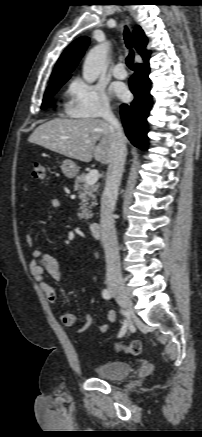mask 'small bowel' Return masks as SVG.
Masks as SVG:
<instances>
[{"instance_id":"obj_1","label":"small bowel","mask_w":202,"mask_h":437,"mask_svg":"<svg viewBox=\"0 0 202 437\" xmlns=\"http://www.w3.org/2000/svg\"><path fill=\"white\" fill-rule=\"evenodd\" d=\"M49 205L51 208H58L60 206V200L58 198H51L49 200ZM26 243L32 249L31 255L32 260L29 264V272L31 276L38 282L40 288L44 291L46 296L51 302H55L57 299L56 292L54 288L45 282V273H48L53 281L60 282L62 279L61 263L58 259L53 256L44 253L43 251L34 248V239L31 234L26 235ZM108 321L113 323L116 320V313L110 310L107 314ZM60 320L63 325L67 327H72L76 322V317L71 312H62L60 314ZM93 323V318L91 315L87 314L85 316V322L82 327L75 330L76 333H83L88 330ZM108 330L107 324H101L98 326V331L100 333H106Z\"/></svg>"}]
</instances>
